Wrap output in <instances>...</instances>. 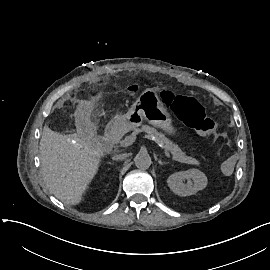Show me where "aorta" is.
<instances>
[{"label": "aorta", "instance_id": "1", "mask_svg": "<svg viewBox=\"0 0 270 270\" xmlns=\"http://www.w3.org/2000/svg\"><path fill=\"white\" fill-rule=\"evenodd\" d=\"M134 162L136 167L140 169H148L152 163L151 157L147 152H139L135 158Z\"/></svg>", "mask_w": 270, "mask_h": 270}]
</instances>
